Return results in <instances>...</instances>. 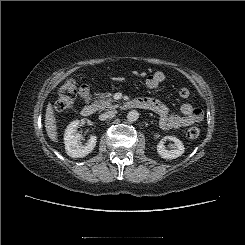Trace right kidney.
I'll return each mask as SVG.
<instances>
[{"mask_svg":"<svg viewBox=\"0 0 245 245\" xmlns=\"http://www.w3.org/2000/svg\"><path fill=\"white\" fill-rule=\"evenodd\" d=\"M79 124V120L72 121L67 126L64 134L65 150L72 158L85 157L94 150L97 142V137L91 136L89 141L85 145H82L80 143L81 134L77 132Z\"/></svg>","mask_w":245,"mask_h":245,"instance_id":"ca27d5eb","label":"right kidney"}]
</instances>
